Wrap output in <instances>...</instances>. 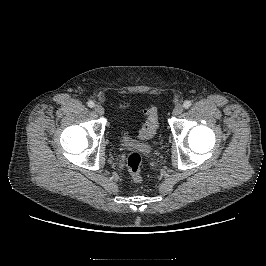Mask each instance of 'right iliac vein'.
<instances>
[{"mask_svg":"<svg viewBox=\"0 0 266 266\" xmlns=\"http://www.w3.org/2000/svg\"><path fill=\"white\" fill-rule=\"evenodd\" d=\"M94 110L100 116L104 114V108L101 105H96Z\"/></svg>","mask_w":266,"mask_h":266,"instance_id":"obj_1","label":"right iliac vein"}]
</instances>
